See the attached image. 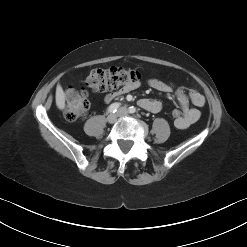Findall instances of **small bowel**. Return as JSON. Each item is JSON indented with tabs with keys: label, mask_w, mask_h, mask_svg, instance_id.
<instances>
[{
	"label": "small bowel",
	"mask_w": 247,
	"mask_h": 247,
	"mask_svg": "<svg viewBox=\"0 0 247 247\" xmlns=\"http://www.w3.org/2000/svg\"><path fill=\"white\" fill-rule=\"evenodd\" d=\"M139 85L140 83L136 82L117 91L111 92L106 95L105 101L111 102L117 97L135 90L139 87ZM148 85L161 92L174 93L176 95L177 100L183 110L181 117L174 121L176 128L186 129L200 118L201 113L199 108L205 104V97L200 92L196 90H190L187 95L184 88H176L170 83L155 78L149 79ZM138 104L142 109L152 113H158L163 108L161 101L149 98L140 99Z\"/></svg>",
	"instance_id": "obj_1"
}]
</instances>
